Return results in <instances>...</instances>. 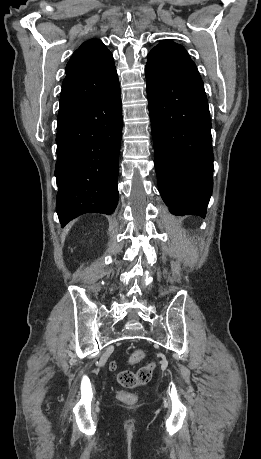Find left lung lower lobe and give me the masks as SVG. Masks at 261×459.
Segmentation results:
<instances>
[{"label":"left lung lower lobe","instance_id":"1","mask_svg":"<svg viewBox=\"0 0 261 459\" xmlns=\"http://www.w3.org/2000/svg\"><path fill=\"white\" fill-rule=\"evenodd\" d=\"M145 74L161 197L174 215L204 218L213 189L214 156L203 81L151 66Z\"/></svg>","mask_w":261,"mask_h":459}]
</instances>
